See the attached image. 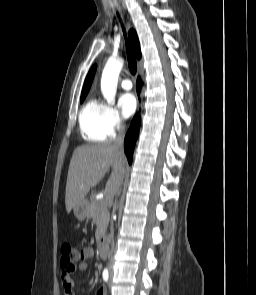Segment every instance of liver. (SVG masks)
Instances as JSON below:
<instances>
[{
    "instance_id": "obj_1",
    "label": "liver",
    "mask_w": 256,
    "mask_h": 295,
    "mask_svg": "<svg viewBox=\"0 0 256 295\" xmlns=\"http://www.w3.org/2000/svg\"><path fill=\"white\" fill-rule=\"evenodd\" d=\"M112 168L106 192L115 195L126 171L122 150L111 143L88 144L77 148L72 155L66 182L65 206L69 213L85 201L90 189L99 183Z\"/></svg>"
}]
</instances>
